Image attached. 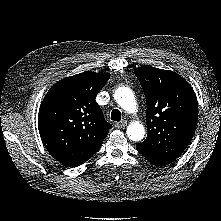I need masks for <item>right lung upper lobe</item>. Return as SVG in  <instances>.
<instances>
[{
	"label": "right lung upper lobe",
	"instance_id": "obj_1",
	"mask_svg": "<svg viewBox=\"0 0 221 221\" xmlns=\"http://www.w3.org/2000/svg\"><path fill=\"white\" fill-rule=\"evenodd\" d=\"M109 77L108 73L86 71L58 81L44 97L38 114L40 137L63 165L86 162L112 127L95 101Z\"/></svg>",
	"mask_w": 221,
	"mask_h": 221
}]
</instances>
